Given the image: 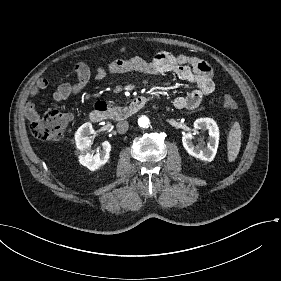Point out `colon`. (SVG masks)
Returning <instances> with one entry per match:
<instances>
[{
  "label": "colon",
  "instance_id": "5ec220e1",
  "mask_svg": "<svg viewBox=\"0 0 281 281\" xmlns=\"http://www.w3.org/2000/svg\"><path fill=\"white\" fill-rule=\"evenodd\" d=\"M112 61V58L106 59V63H111ZM222 104L225 108H235L237 106L235 99L228 94L222 96ZM65 126V117L57 107H54L32 122L31 132L40 141L54 142L63 136Z\"/></svg>",
  "mask_w": 281,
  "mask_h": 281
}]
</instances>
